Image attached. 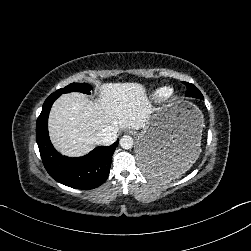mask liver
Masks as SVG:
<instances>
[{
	"instance_id": "liver-1",
	"label": "liver",
	"mask_w": 251,
	"mask_h": 251,
	"mask_svg": "<svg viewBox=\"0 0 251 251\" xmlns=\"http://www.w3.org/2000/svg\"><path fill=\"white\" fill-rule=\"evenodd\" d=\"M152 113L146 89L139 83H105L98 101L72 92L58 98L48 128L54 147L63 155L82 156L99 145L97 133L107 126L122 130L144 128Z\"/></svg>"
}]
</instances>
